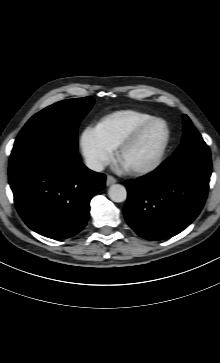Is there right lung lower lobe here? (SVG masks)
I'll list each match as a JSON object with an SVG mask.
<instances>
[{
    "label": "right lung lower lobe",
    "mask_w": 220,
    "mask_h": 363,
    "mask_svg": "<svg viewBox=\"0 0 220 363\" xmlns=\"http://www.w3.org/2000/svg\"><path fill=\"white\" fill-rule=\"evenodd\" d=\"M9 183L16 208L32 230L66 239L86 225L90 200L104 188L105 175L86 168L65 143L47 141L10 157Z\"/></svg>",
    "instance_id": "obj_1"
}]
</instances>
